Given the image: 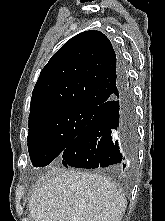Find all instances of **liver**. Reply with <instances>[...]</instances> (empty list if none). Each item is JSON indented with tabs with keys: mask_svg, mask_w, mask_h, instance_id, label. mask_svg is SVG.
<instances>
[{
	"mask_svg": "<svg viewBox=\"0 0 165 221\" xmlns=\"http://www.w3.org/2000/svg\"><path fill=\"white\" fill-rule=\"evenodd\" d=\"M34 221H121L126 200L104 176L53 167L29 198Z\"/></svg>",
	"mask_w": 165,
	"mask_h": 221,
	"instance_id": "liver-1",
	"label": "liver"
}]
</instances>
